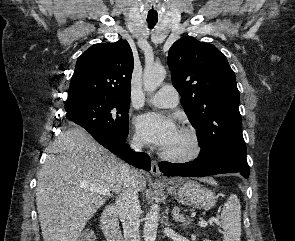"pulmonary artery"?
Here are the masks:
<instances>
[{"label":"pulmonary artery","instance_id":"e3ab8cb5","mask_svg":"<svg viewBox=\"0 0 295 241\" xmlns=\"http://www.w3.org/2000/svg\"><path fill=\"white\" fill-rule=\"evenodd\" d=\"M149 102L161 108H174L179 103V94L174 87L166 85L150 97Z\"/></svg>","mask_w":295,"mask_h":241}]
</instances>
